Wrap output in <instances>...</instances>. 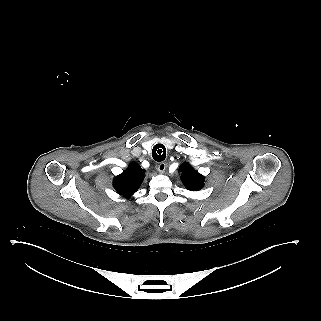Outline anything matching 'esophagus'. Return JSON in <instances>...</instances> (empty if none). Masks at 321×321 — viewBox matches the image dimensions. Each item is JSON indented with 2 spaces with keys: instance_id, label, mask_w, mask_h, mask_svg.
Returning a JSON list of instances; mask_svg holds the SVG:
<instances>
[{
  "instance_id": "obj_1",
  "label": "esophagus",
  "mask_w": 321,
  "mask_h": 321,
  "mask_svg": "<svg viewBox=\"0 0 321 321\" xmlns=\"http://www.w3.org/2000/svg\"><path fill=\"white\" fill-rule=\"evenodd\" d=\"M167 167V162H162L158 165L157 167V170L160 172V173H163L165 171Z\"/></svg>"
}]
</instances>
